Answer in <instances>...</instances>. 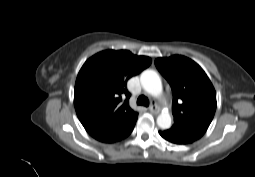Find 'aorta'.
Instances as JSON below:
<instances>
[{"label": "aorta", "mask_w": 255, "mask_h": 177, "mask_svg": "<svg viewBox=\"0 0 255 177\" xmlns=\"http://www.w3.org/2000/svg\"><path fill=\"white\" fill-rule=\"evenodd\" d=\"M143 89L150 95L158 97L162 94V82L159 75L153 70H145L140 77ZM157 125L162 129L171 127V116L168 112H162L157 117Z\"/></svg>", "instance_id": "obj_1"}]
</instances>
